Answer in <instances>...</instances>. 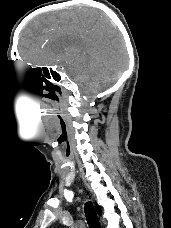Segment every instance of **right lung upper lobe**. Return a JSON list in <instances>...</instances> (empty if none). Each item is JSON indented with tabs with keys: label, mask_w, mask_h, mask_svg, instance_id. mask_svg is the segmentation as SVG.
<instances>
[{
	"label": "right lung upper lobe",
	"mask_w": 171,
	"mask_h": 228,
	"mask_svg": "<svg viewBox=\"0 0 171 228\" xmlns=\"http://www.w3.org/2000/svg\"><path fill=\"white\" fill-rule=\"evenodd\" d=\"M96 210H97L98 214H100L101 209H100V207L98 205H96Z\"/></svg>",
	"instance_id": "right-lung-upper-lobe-1"
}]
</instances>
